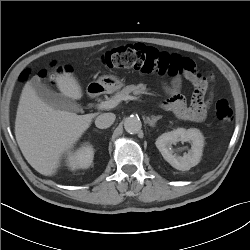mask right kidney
Masks as SVG:
<instances>
[{"label": "right kidney", "mask_w": 250, "mask_h": 250, "mask_svg": "<svg viewBox=\"0 0 250 250\" xmlns=\"http://www.w3.org/2000/svg\"><path fill=\"white\" fill-rule=\"evenodd\" d=\"M94 151L92 146L86 144L75 152H69L66 164L71 170L87 169L93 162Z\"/></svg>", "instance_id": "1"}]
</instances>
